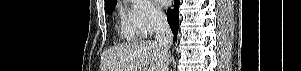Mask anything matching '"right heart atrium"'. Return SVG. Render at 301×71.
<instances>
[{"mask_svg":"<svg viewBox=\"0 0 301 71\" xmlns=\"http://www.w3.org/2000/svg\"><path fill=\"white\" fill-rule=\"evenodd\" d=\"M128 20L137 36L148 38L162 27L164 15L151 0H131Z\"/></svg>","mask_w":301,"mask_h":71,"instance_id":"d8ad5b80","label":"right heart atrium"}]
</instances>
